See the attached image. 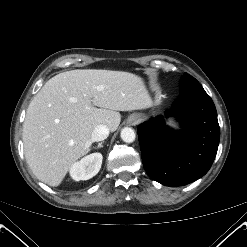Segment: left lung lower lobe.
I'll use <instances>...</instances> for the list:
<instances>
[{"label":"left lung lower lobe","instance_id":"obj_1","mask_svg":"<svg viewBox=\"0 0 247 247\" xmlns=\"http://www.w3.org/2000/svg\"><path fill=\"white\" fill-rule=\"evenodd\" d=\"M166 116L178 118L183 129L172 131L162 116L137 129L143 166L163 185H186L205 175L215 159L220 140L216 108L192 77L180 80V97Z\"/></svg>","mask_w":247,"mask_h":247}]
</instances>
